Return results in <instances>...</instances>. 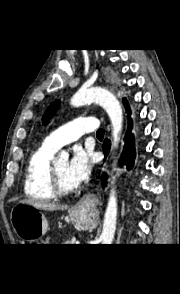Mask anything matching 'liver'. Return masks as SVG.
I'll return each instance as SVG.
<instances>
[{
    "label": "liver",
    "instance_id": "6515ba94",
    "mask_svg": "<svg viewBox=\"0 0 180 294\" xmlns=\"http://www.w3.org/2000/svg\"><path fill=\"white\" fill-rule=\"evenodd\" d=\"M20 203L30 204L33 207H35L36 209H42L45 211H55V210H60V209L65 210L68 208L67 205H61L58 203L48 202V201H34L31 199L21 200Z\"/></svg>",
    "mask_w": 180,
    "mask_h": 294
}]
</instances>
